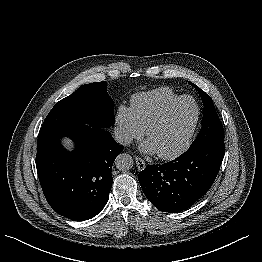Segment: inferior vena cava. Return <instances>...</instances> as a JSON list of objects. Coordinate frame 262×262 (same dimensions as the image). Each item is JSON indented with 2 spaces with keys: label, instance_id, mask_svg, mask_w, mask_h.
<instances>
[{
  "label": "inferior vena cava",
  "instance_id": "obj_1",
  "mask_svg": "<svg viewBox=\"0 0 262 262\" xmlns=\"http://www.w3.org/2000/svg\"><path fill=\"white\" fill-rule=\"evenodd\" d=\"M114 138L116 142L124 146L129 145L130 143H132L133 140V138L128 133L119 130L115 131Z\"/></svg>",
  "mask_w": 262,
  "mask_h": 262
}]
</instances>
